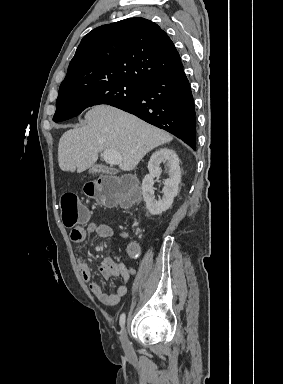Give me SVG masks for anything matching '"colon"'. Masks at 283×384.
Returning a JSON list of instances; mask_svg holds the SVG:
<instances>
[{"instance_id":"colon-1","label":"colon","mask_w":283,"mask_h":384,"mask_svg":"<svg viewBox=\"0 0 283 384\" xmlns=\"http://www.w3.org/2000/svg\"><path fill=\"white\" fill-rule=\"evenodd\" d=\"M85 194L103 206H127L135 198L134 181L130 178L114 176L102 177L84 186ZM62 220L66 227H74L85 223L89 214L80 206L79 200L74 193H66L61 199ZM131 253L138 255L136 247L131 248Z\"/></svg>"}]
</instances>
